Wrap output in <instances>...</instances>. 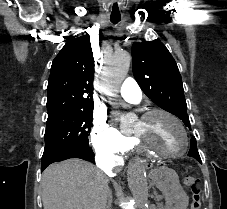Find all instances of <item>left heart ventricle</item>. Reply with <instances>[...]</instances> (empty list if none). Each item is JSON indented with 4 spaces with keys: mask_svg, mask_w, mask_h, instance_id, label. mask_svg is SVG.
Segmentation results:
<instances>
[{
    "mask_svg": "<svg viewBox=\"0 0 227 209\" xmlns=\"http://www.w3.org/2000/svg\"><path fill=\"white\" fill-rule=\"evenodd\" d=\"M133 133L150 147L162 152H172L182 148L184 138L179 126L168 116L158 113L144 120H138Z\"/></svg>",
    "mask_w": 227,
    "mask_h": 209,
    "instance_id": "obj_1",
    "label": "left heart ventricle"
}]
</instances>
